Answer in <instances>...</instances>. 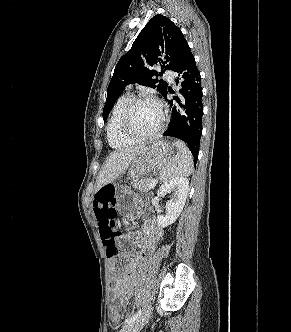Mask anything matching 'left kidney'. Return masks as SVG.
<instances>
[{
	"label": "left kidney",
	"instance_id": "1",
	"mask_svg": "<svg viewBox=\"0 0 291 332\" xmlns=\"http://www.w3.org/2000/svg\"><path fill=\"white\" fill-rule=\"evenodd\" d=\"M189 190V180L184 177L164 182L157 191L159 197H164L171 191L172 198L166 202V215H158L157 223L164 228L174 223L181 214Z\"/></svg>",
	"mask_w": 291,
	"mask_h": 332
}]
</instances>
